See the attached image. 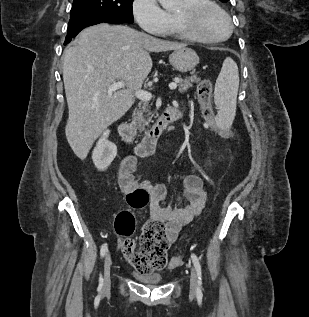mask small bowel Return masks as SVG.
Listing matches in <instances>:
<instances>
[{
	"instance_id": "1",
	"label": "small bowel",
	"mask_w": 309,
	"mask_h": 317,
	"mask_svg": "<svg viewBox=\"0 0 309 317\" xmlns=\"http://www.w3.org/2000/svg\"><path fill=\"white\" fill-rule=\"evenodd\" d=\"M178 111L181 117L182 110ZM136 165L135 156H128L122 161L118 177L119 186L127 195L137 189L148 192L151 218L165 225L168 240L173 243L182 227L196 218L205 207L207 190L203 178L196 171L186 176L182 191L175 195L172 203L167 204L171 196L166 187L137 180L133 174Z\"/></svg>"
}]
</instances>
